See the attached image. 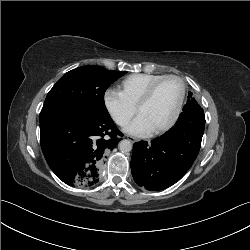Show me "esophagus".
Here are the masks:
<instances>
[{
  "mask_svg": "<svg viewBox=\"0 0 250 250\" xmlns=\"http://www.w3.org/2000/svg\"><path fill=\"white\" fill-rule=\"evenodd\" d=\"M127 139H129L132 143L137 142V139L132 136H127Z\"/></svg>",
  "mask_w": 250,
  "mask_h": 250,
  "instance_id": "1",
  "label": "esophagus"
}]
</instances>
